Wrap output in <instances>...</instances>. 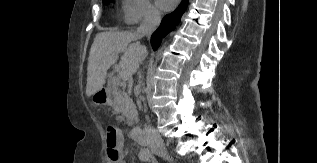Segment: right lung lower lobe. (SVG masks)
I'll list each match as a JSON object with an SVG mask.
<instances>
[{"label": "right lung lower lobe", "mask_w": 317, "mask_h": 163, "mask_svg": "<svg viewBox=\"0 0 317 163\" xmlns=\"http://www.w3.org/2000/svg\"><path fill=\"white\" fill-rule=\"evenodd\" d=\"M187 4L188 0H183L174 12L166 15L163 18L160 27L153 33L151 37V45L154 50L160 44L161 39L170 31H172L175 28V26L180 22L181 16L187 8Z\"/></svg>", "instance_id": "1"}]
</instances>
